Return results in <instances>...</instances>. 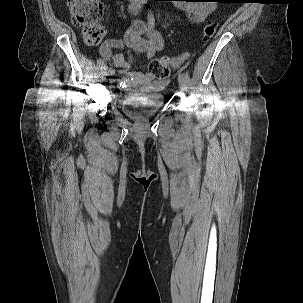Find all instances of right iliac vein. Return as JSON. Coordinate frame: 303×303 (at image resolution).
<instances>
[{
	"label": "right iliac vein",
	"mask_w": 303,
	"mask_h": 303,
	"mask_svg": "<svg viewBox=\"0 0 303 303\" xmlns=\"http://www.w3.org/2000/svg\"><path fill=\"white\" fill-rule=\"evenodd\" d=\"M114 81H115V77H114V74H112L109 76V82L112 83Z\"/></svg>",
	"instance_id": "1"
}]
</instances>
